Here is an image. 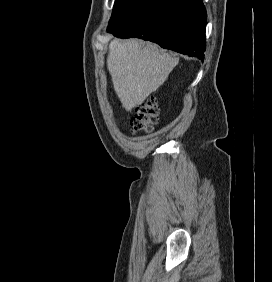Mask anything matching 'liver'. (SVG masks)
Returning a JSON list of instances; mask_svg holds the SVG:
<instances>
[{"mask_svg": "<svg viewBox=\"0 0 272 282\" xmlns=\"http://www.w3.org/2000/svg\"><path fill=\"white\" fill-rule=\"evenodd\" d=\"M178 62V58L152 43L138 39L111 41L107 68L125 110L131 111L163 85Z\"/></svg>", "mask_w": 272, "mask_h": 282, "instance_id": "obj_1", "label": "liver"}]
</instances>
